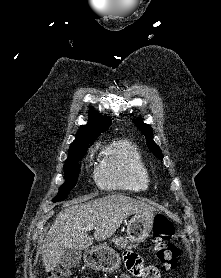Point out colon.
<instances>
[{
  "instance_id": "obj_1",
  "label": "colon",
  "mask_w": 221,
  "mask_h": 278,
  "mask_svg": "<svg viewBox=\"0 0 221 278\" xmlns=\"http://www.w3.org/2000/svg\"><path fill=\"white\" fill-rule=\"evenodd\" d=\"M174 235V226L172 222L162 214L155 216L153 224V250L163 269L170 270L177 266L180 260L179 248L171 242ZM149 276L157 278L159 270L157 267L149 266ZM48 278H89L87 276L72 277L68 269H55Z\"/></svg>"
}]
</instances>
